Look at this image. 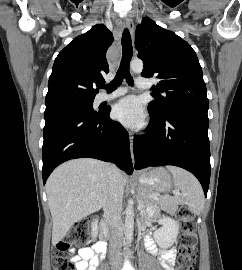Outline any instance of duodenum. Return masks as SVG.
I'll use <instances>...</instances> for the list:
<instances>
[{"mask_svg": "<svg viewBox=\"0 0 242 270\" xmlns=\"http://www.w3.org/2000/svg\"><path fill=\"white\" fill-rule=\"evenodd\" d=\"M110 237L109 227L107 224L106 219L102 221L100 224V238L102 240V243L104 244L105 241H107ZM105 245L101 248V252L105 251Z\"/></svg>", "mask_w": 242, "mask_h": 270, "instance_id": "410a0bca", "label": "duodenum"}]
</instances>
